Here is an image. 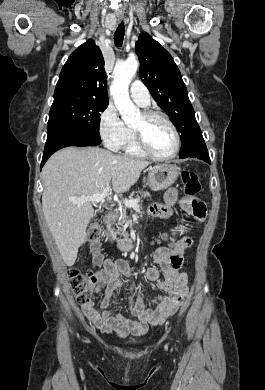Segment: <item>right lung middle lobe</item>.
I'll return each mask as SVG.
<instances>
[{"label":"right lung middle lobe","instance_id":"dd1d6c3e","mask_svg":"<svg viewBox=\"0 0 265 390\" xmlns=\"http://www.w3.org/2000/svg\"><path fill=\"white\" fill-rule=\"evenodd\" d=\"M108 102L85 98L54 100L49 112L48 132L71 130L101 140L99 118Z\"/></svg>","mask_w":265,"mask_h":390}]
</instances>
